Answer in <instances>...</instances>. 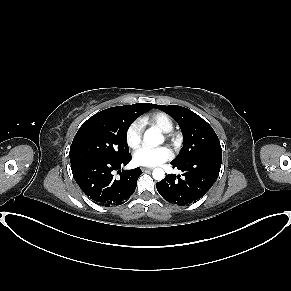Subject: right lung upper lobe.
Instances as JSON below:
<instances>
[{"instance_id":"1","label":"right lung upper lobe","mask_w":291,"mask_h":291,"mask_svg":"<svg viewBox=\"0 0 291 291\" xmlns=\"http://www.w3.org/2000/svg\"><path fill=\"white\" fill-rule=\"evenodd\" d=\"M141 104L150 105V106H152L153 108L156 107V104H147V103H140V104H135V105L140 106ZM141 106H142V105H141Z\"/></svg>"}]
</instances>
